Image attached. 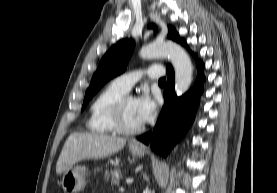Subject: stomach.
Here are the masks:
<instances>
[{
	"mask_svg": "<svg viewBox=\"0 0 277 193\" xmlns=\"http://www.w3.org/2000/svg\"><path fill=\"white\" fill-rule=\"evenodd\" d=\"M131 153L135 156H143L145 149L131 142L129 144ZM87 169L85 166H75L65 171L61 185L65 193H78L86 185Z\"/></svg>",
	"mask_w": 277,
	"mask_h": 193,
	"instance_id": "0dacf381",
	"label": "stomach"
}]
</instances>
